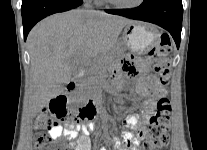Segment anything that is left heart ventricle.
<instances>
[{"instance_id":"obj_1","label":"left heart ventricle","mask_w":207,"mask_h":150,"mask_svg":"<svg viewBox=\"0 0 207 150\" xmlns=\"http://www.w3.org/2000/svg\"><path fill=\"white\" fill-rule=\"evenodd\" d=\"M115 1L120 3V4L129 5V4L135 3L137 0H115Z\"/></svg>"}]
</instances>
